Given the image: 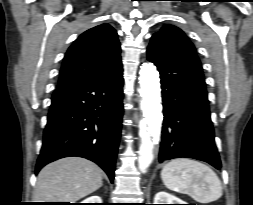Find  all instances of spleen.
Returning <instances> with one entry per match:
<instances>
[{
  "label": "spleen",
  "mask_w": 253,
  "mask_h": 205,
  "mask_svg": "<svg viewBox=\"0 0 253 205\" xmlns=\"http://www.w3.org/2000/svg\"><path fill=\"white\" fill-rule=\"evenodd\" d=\"M161 178L168 189L187 194L199 203L213 202L222 196V184L217 174L196 160H171L163 167Z\"/></svg>",
  "instance_id": "3e777b00"
}]
</instances>
